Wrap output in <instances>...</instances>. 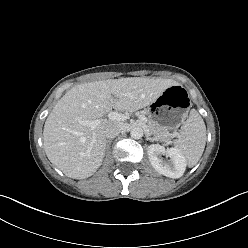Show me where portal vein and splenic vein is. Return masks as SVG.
<instances>
[{"label":"portal vein and splenic vein","instance_id":"obj_1","mask_svg":"<svg viewBox=\"0 0 248 248\" xmlns=\"http://www.w3.org/2000/svg\"><path fill=\"white\" fill-rule=\"evenodd\" d=\"M113 100V98H112ZM108 119L112 120V121H124L126 119V116L118 113V112H110L108 114ZM139 119L142 122H147V118L144 115H140ZM102 122H104L103 119H95V120H81L80 124L85 125V126H89L92 129H95L99 124H101Z\"/></svg>","mask_w":248,"mask_h":248}]
</instances>
